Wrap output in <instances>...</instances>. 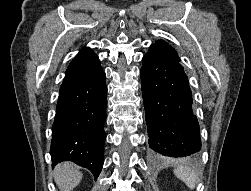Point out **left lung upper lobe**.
Returning a JSON list of instances; mask_svg holds the SVG:
<instances>
[{
  "instance_id": "1",
  "label": "left lung upper lobe",
  "mask_w": 251,
  "mask_h": 191,
  "mask_svg": "<svg viewBox=\"0 0 251 191\" xmlns=\"http://www.w3.org/2000/svg\"><path fill=\"white\" fill-rule=\"evenodd\" d=\"M149 49L157 50L159 52H162L166 54L167 56L171 57L172 59L180 62V58L177 54V52L165 41L159 40L153 45L150 46Z\"/></svg>"
}]
</instances>
